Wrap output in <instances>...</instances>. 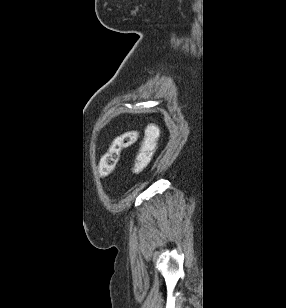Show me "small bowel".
Returning a JSON list of instances; mask_svg holds the SVG:
<instances>
[{"mask_svg": "<svg viewBox=\"0 0 286 308\" xmlns=\"http://www.w3.org/2000/svg\"><path fill=\"white\" fill-rule=\"evenodd\" d=\"M159 130L157 127L155 126H149L147 127L146 131H145V136L143 140H147V139H154V141L156 142L159 139Z\"/></svg>", "mask_w": 286, "mask_h": 308, "instance_id": "obj_1", "label": "small bowel"}]
</instances>
